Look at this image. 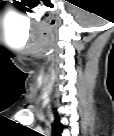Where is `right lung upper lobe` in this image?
I'll list each match as a JSON object with an SVG mask.
<instances>
[{
	"instance_id": "right-lung-upper-lobe-1",
	"label": "right lung upper lobe",
	"mask_w": 114,
	"mask_h": 136,
	"mask_svg": "<svg viewBox=\"0 0 114 136\" xmlns=\"http://www.w3.org/2000/svg\"><path fill=\"white\" fill-rule=\"evenodd\" d=\"M52 128H53L54 136H61L63 126L60 123L58 113H55V120H54V123L52 124Z\"/></svg>"
}]
</instances>
